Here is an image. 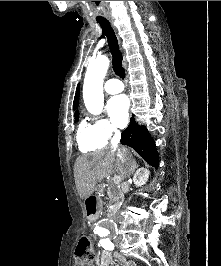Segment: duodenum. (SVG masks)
Listing matches in <instances>:
<instances>
[{
	"mask_svg": "<svg viewBox=\"0 0 221 266\" xmlns=\"http://www.w3.org/2000/svg\"><path fill=\"white\" fill-rule=\"evenodd\" d=\"M99 196H102V191H91V194H88L85 200L87 218L90 219V223H97V219L100 218L102 198H99ZM106 215L114 216V211H107Z\"/></svg>",
	"mask_w": 221,
	"mask_h": 266,
	"instance_id": "obj_1",
	"label": "duodenum"
}]
</instances>
